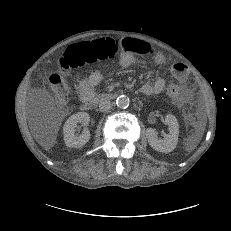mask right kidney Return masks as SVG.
Returning a JSON list of instances; mask_svg holds the SVG:
<instances>
[{
	"instance_id": "ca27d5eb",
	"label": "right kidney",
	"mask_w": 231,
	"mask_h": 231,
	"mask_svg": "<svg viewBox=\"0 0 231 231\" xmlns=\"http://www.w3.org/2000/svg\"><path fill=\"white\" fill-rule=\"evenodd\" d=\"M90 121V116L86 112H78L70 116L64 124L63 134L66 146L71 148H82L90 139V132L85 128L81 135L75 134L77 123H82L87 126Z\"/></svg>"
}]
</instances>
